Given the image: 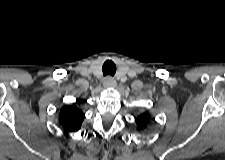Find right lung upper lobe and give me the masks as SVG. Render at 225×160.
Returning a JSON list of instances; mask_svg holds the SVG:
<instances>
[{
	"instance_id": "cb5924a9",
	"label": "right lung upper lobe",
	"mask_w": 225,
	"mask_h": 160,
	"mask_svg": "<svg viewBox=\"0 0 225 160\" xmlns=\"http://www.w3.org/2000/svg\"><path fill=\"white\" fill-rule=\"evenodd\" d=\"M85 118V114L75 106H64L60 110L59 123L68 133H74L78 131Z\"/></svg>"
}]
</instances>
